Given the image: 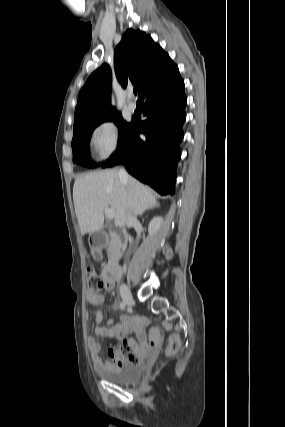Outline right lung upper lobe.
I'll use <instances>...</instances> for the list:
<instances>
[{"mask_svg":"<svg viewBox=\"0 0 285 427\" xmlns=\"http://www.w3.org/2000/svg\"><path fill=\"white\" fill-rule=\"evenodd\" d=\"M176 65L149 35L128 29L114 52V69L121 85L132 83L143 91ZM111 70L105 63L87 79L78 96L74 129L106 117L117 110L110 106ZM73 129V130H74Z\"/></svg>","mask_w":285,"mask_h":427,"instance_id":"right-lung-upper-lobe-1","label":"right lung upper lobe"}]
</instances>
